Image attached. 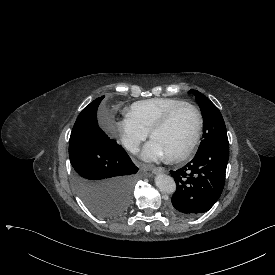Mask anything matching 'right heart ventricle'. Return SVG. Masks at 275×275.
Returning a JSON list of instances; mask_svg holds the SVG:
<instances>
[{"mask_svg": "<svg viewBox=\"0 0 275 275\" xmlns=\"http://www.w3.org/2000/svg\"><path fill=\"white\" fill-rule=\"evenodd\" d=\"M185 103L186 101L176 98H152L132 104L127 112V117L149 133L167 112Z\"/></svg>", "mask_w": 275, "mask_h": 275, "instance_id": "1", "label": "right heart ventricle"}]
</instances>
